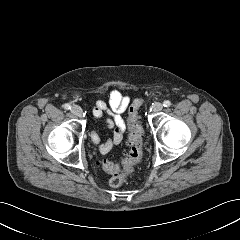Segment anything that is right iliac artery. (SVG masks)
Instances as JSON below:
<instances>
[{
  "instance_id": "82829eb1",
  "label": "right iliac artery",
  "mask_w": 240,
  "mask_h": 240,
  "mask_svg": "<svg viewBox=\"0 0 240 240\" xmlns=\"http://www.w3.org/2000/svg\"><path fill=\"white\" fill-rule=\"evenodd\" d=\"M64 109H66V110H69V109H71V105L70 104H68V103H66V104H64Z\"/></svg>"
}]
</instances>
